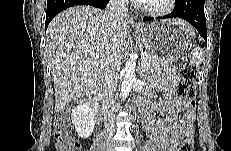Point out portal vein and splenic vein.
I'll return each mask as SVG.
<instances>
[{"label": "portal vein and splenic vein", "instance_id": "18ae733b", "mask_svg": "<svg viewBox=\"0 0 231 151\" xmlns=\"http://www.w3.org/2000/svg\"><path fill=\"white\" fill-rule=\"evenodd\" d=\"M140 56H141V59H142V58L146 57V54L142 52Z\"/></svg>", "mask_w": 231, "mask_h": 151}]
</instances>
